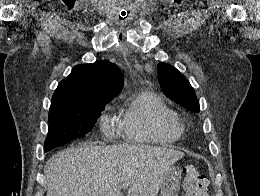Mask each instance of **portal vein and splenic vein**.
Instances as JSON below:
<instances>
[{"instance_id": "obj_1", "label": "portal vein and splenic vein", "mask_w": 260, "mask_h": 196, "mask_svg": "<svg viewBox=\"0 0 260 196\" xmlns=\"http://www.w3.org/2000/svg\"><path fill=\"white\" fill-rule=\"evenodd\" d=\"M130 184H121L120 188L121 190H128Z\"/></svg>"}]
</instances>
